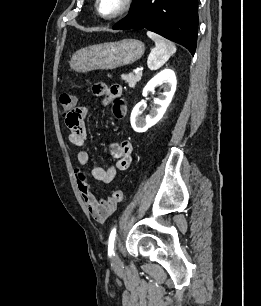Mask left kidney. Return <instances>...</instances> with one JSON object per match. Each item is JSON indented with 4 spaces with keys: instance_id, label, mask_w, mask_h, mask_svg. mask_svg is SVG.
I'll return each mask as SVG.
<instances>
[{
    "instance_id": "obj_1",
    "label": "left kidney",
    "mask_w": 261,
    "mask_h": 306,
    "mask_svg": "<svg viewBox=\"0 0 261 306\" xmlns=\"http://www.w3.org/2000/svg\"><path fill=\"white\" fill-rule=\"evenodd\" d=\"M176 84V75L171 69L161 71L147 83L143 89V96H147L148 93L153 92L158 85L164 89V92L161 93L158 99L154 100L155 106L145 118L140 116L144 106L143 102H139L133 108L130 121L134 131L138 133L146 132L161 120L172 101L176 91Z\"/></svg>"
}]
</instances>
